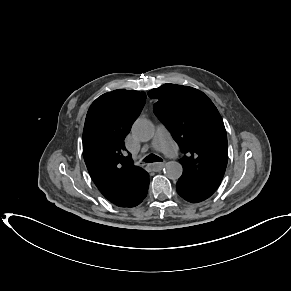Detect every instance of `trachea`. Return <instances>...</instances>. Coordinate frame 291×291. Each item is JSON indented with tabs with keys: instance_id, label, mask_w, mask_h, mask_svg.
<instances>
[{
	"instance_id": "1",
	"label": "trachea",
	"mask_w": 291,
	"mask_h": 291,
	"mask_svg": "<svg viewBox=\"0 0 291 291\" xmlns=\"http://www.w3.org/2000/svg\"><path fill=\"white\" fill-rule=\"evenodd\" d=\"M144 162L146 163H153V162H160L162 159L155 154H150L147 157L143 159Z\"/></svg>"
}]
</instances>
